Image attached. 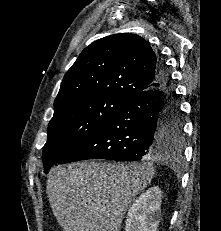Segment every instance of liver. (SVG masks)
<instances>
[{
  "label": "liver",
  "mask_w": 221,
  "mask_h": 231,
  "mask_svg": "<svg viewBox=\"0 0 221 231\" xmlns=\"http://www.w3.org/2000/svg\"><path fill=\"white\" fill-rule=\"evenodd\" d=\"M154 174L151 162H77L53 167L46 191L64 231H120L124 213Z\"/></svg>",
  "instance_id": "obj_1"
}]
</instances>
